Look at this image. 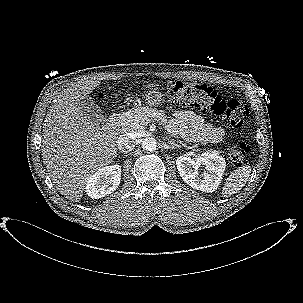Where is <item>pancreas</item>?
I'll return each mask as SVG.
<instances>
[{"label": "pancreas", "instance_id": "1", "mask_svg": "<svg viewBox=\"0 0 303 303\" xmlns=\"http://www.w3.org/2000/svg\"><path fill=\"white\" fill-rule=\"evenodd\" d=\"M153 119L162 125L168 123L167 115L163 110H155L149 107H137L122 114L119 126L124 133L129 131H142ZM209 152L219 154L216 150H209Z\"/></svg>", "mask_w": 303, "mask_h": 303}]
</instances>
